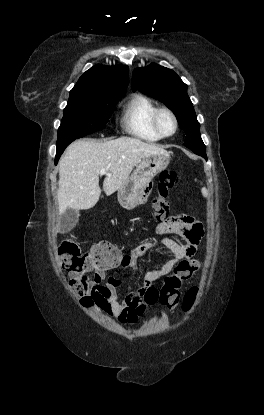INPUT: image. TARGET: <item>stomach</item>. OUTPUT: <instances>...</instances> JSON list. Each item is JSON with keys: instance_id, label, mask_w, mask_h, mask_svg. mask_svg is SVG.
<instances>
[{"instance_id": "obj_1", "label": "stomach", "mask_w": 264, "mask_h": 415, "mask_svg": "<svg viewBox=\"0 0 264 415\" xmlns=\"http://www.w3.org/2000/svg\"><path fill=\"white\" fill-rule=\"evenodd\" d=\"M170 156L164 154L142 158L127 181L118 189V202L132 210L142 202L144 188L161 171L167 168Z\"/></svg>"}]
</instances>
